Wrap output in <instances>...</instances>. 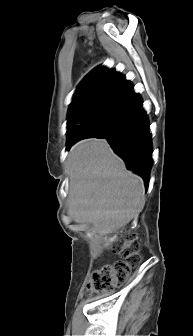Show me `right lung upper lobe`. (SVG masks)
<instances>
[{
  "label": "right lung upper lobe",
  "instance_id": "obj_1",
  "mask_svg": "<svg viewBox=\"0 0 193 336\" xmlns=\"http://www.w3.org/2000/svg\"><path fill=\"white\" fill-rule=\"evenodd\" d=\"M131 87L129 81L115 70L98 66L79 84L68 115L67 144L84 139L85 135L72 134L71 127L90 120L107 109H113Z\"/></svg>",
  "mask_w": 193,
  "mask_h": 336
}]
</instances>
